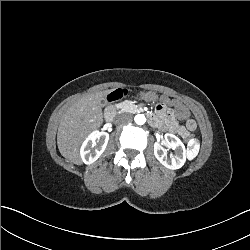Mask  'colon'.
Masks as SVG:
<instances>
[{
  "mask_svg": "<svg viewBox=\"0 0 250 250\" xmlns=\"http://www.w3.org/2000/svg\"><path fill=\"white\" fill-rule=\"evenodd\" d=\"M128 94V90L125 89V88H118V89H115L113 90L112 92H110L107 96V101L109 103H113V102H116L120 99H123L127 96ZM188 128L190 130H193L195 128L194 124L193 123H189L188 124ZM193 141V135L192 134H187L184 138H183V142L186 144V145H189L191 142Z\"/></svg>",
  "mask_w": 250,
  "mask_h": 250,
  "instance_id": "5ec220e1",
  "label": "colon"
}]
</instances>
